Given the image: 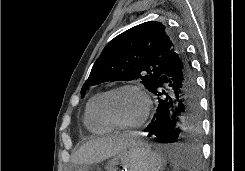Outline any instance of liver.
<instances>
[{"label":"liver","instance_id":"obj_1","mask_svg":"<svg viewBox=\"0 0 245 171\" xmlns=\"http://www.w3.org/2000/svg\"><path fill=\"white\" fill-rule=\"evenodd\" d=\"M135 144L141 145L143 143L137 140L134 133L115 134L108 137L91 139L75 152L71 161L77 165L99 163Z\"/></svg>","mask_w":245,"mask_h":171}]
</instances>
